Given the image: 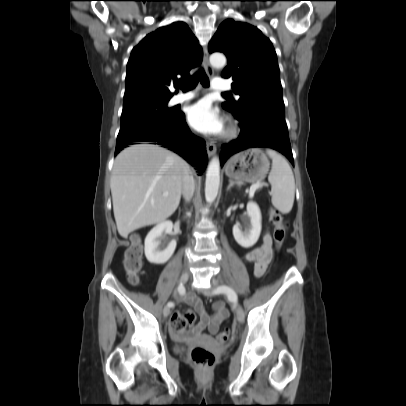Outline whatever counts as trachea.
Instances as JSON below:
<instances>
[{
	"label": "trachea",
	"mask_w": 406,
	"mask_h": 406,
	"mask_svg": "<svg viewBox=\"0 0 406 406\" xmlns=\"http://www.w3.org/2000/svg\"><path fill=\"white\" fill-rule=\"evenodd\" d=\"M199 81L204 87H209V79L203 70L196 72L188 80L177 84V87L182 89L183 91L192 90L196 87ZM224 94L228 95V93Z\"/></svg>",
	"instance_id": "obj_1"
}]
</instances>
